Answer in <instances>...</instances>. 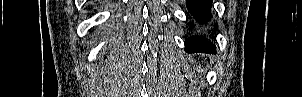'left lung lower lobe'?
I'll list each match as a JSON object with an SVG mask.
<instances>
[{
	"instance_id": "obj_1",
	"label": "left lung lower lobe",
	"mask_w": 302,
	"mask_h": 97,
	"mask_svg": "<svg viewBox=\"0 0 302 97\" xmlns=\"http://www.w3.org/2000/svg\"><path fill=\"white\" fill-rule=\"evenodd\" d=\"M186 5L199 22H207L210 19L212 0H187ZM185 48L187 52L215 53V46L201 37L187 39Z\"/></svg>"
}]
</instances>
